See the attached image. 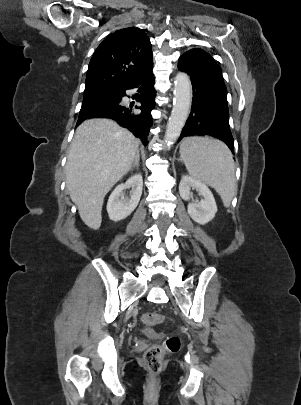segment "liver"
Here are the masks:
<instances>
[{
	"instance_id": "6515ba94",
	"label": "liver",
	"mask_w": 301,
	"mask_h": 405,
	"mask_svg": "<svg viewBox=\"0 0 301 405\" xmlns=\"http://www.w3.org/2000/svg\"><path fill=\"white\" fill-rule=\"evenodd\" d=\"M138 146V139L113 120L89 119L76 129L66 187L88 227L99 229L104 197L131 169Z\"/></svg>"
}]
</instances>
